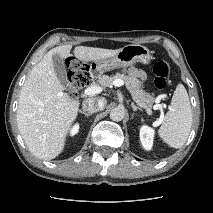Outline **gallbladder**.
<instances>
[{
  "instance_id": "1",
  "label": "gallbladder",
  "mask_w": 213,
  "mask_h": 213,
  "mask_svg": "<svg viewBox=\"0 0 213 213\" xmlns=\"http://www.w3.org/2000/svg\"><path fill=\"white\" fill-rule=\"evenodd\" d=\"M52 62L54 66V71L60 80L61 84L63 86L68 85V78H67V71L65 68L64 60L62 57H60L58 54H54L52 56Z\"/></svg>"
}]
</instances>
